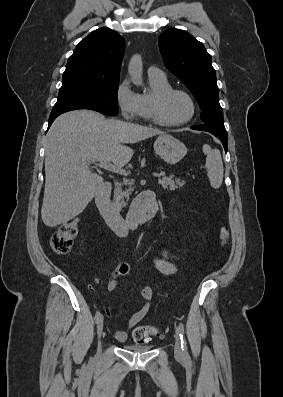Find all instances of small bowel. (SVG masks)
I'll return each mask as SVG.
<instances>
[{
    "label": "small bowel",
    "instance_id": "c3829d8e",
    "mask_svg": "<svg viewBox=\"0 0 283 397\" xmlns=\"http://www.w3.org/2000/svg\"><path fill=\"white\" fill-rule=\"evenodd\" d=\"M158 202V201H157ZM178 257L168 250H164L160 256L154 259V264L160 273L163 275L173 274L177 270L176 261ZM131 266L128 262L120 263L114 270L112 277L110 279L108 289L113 292L116 290L119 280L129 274ZM100 283L99 280L95 281ZM139 295L143 298L144 302L142 306L132 314V316L127 321V327L132 328L139 322H141L150 310V302L154 298V290L150 286H138L136 288ZM106 313L110 316L111 311L108 307H105ZM127 332L123 330H117L114 332V338L118 342H124L127 340Z\"/></svg>",
    "mask_w": 283,
    "mask_h": 397
}]
</instances>
